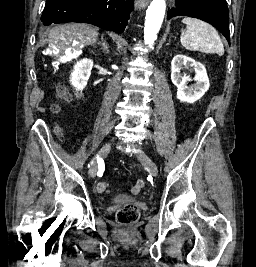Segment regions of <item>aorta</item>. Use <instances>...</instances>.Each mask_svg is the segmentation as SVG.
<instances>
[{
  "instance_id": "obj_1",
  "label": "aorta",
  "mask_w": 256,
  "mask_h": 267,
  "mask_svg": "<svg viewBox=\"0 0 256 267\" xmlns=\"http://www.w3.org/2000/svg\"><path fill=\"white\" fill-rule=\"evenodd\" d=\"M166 12V0H152L145 16L144 40L149 48L157 40ZM153 50V48H152Z\"/></svg>"
}]
</instances>
